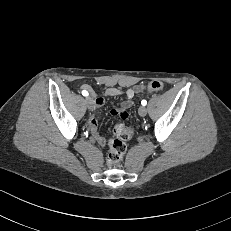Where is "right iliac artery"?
<instances>
[{
    "label": "right iliac artery",
    "mask_w": 231,
    "mask_h": 231,
    "mask_svg": "<svg viewBox=\"0 0 231 231\" xmlns=\"http://www.w3.org/2000/svg\"><path fill=\"white\" fill-rule=\"evenodd\" d=\"M82 95H83V96H88L89 94H88L87 91L83 90V91H82Z\"/></svg>",
    "instance_id": "82829eb1"
}]
</instances>
